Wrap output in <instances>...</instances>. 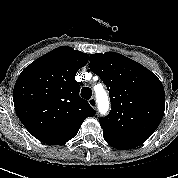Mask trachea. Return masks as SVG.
<instances>
[{
  "label": "trachea",
  "instance_id": "1",
  "mask_svg": "<svg viewBox=\"0 0 178 178\" xmlns=\"http://www.w3.org/2000/svg\"><path fill=\"white\" fill-rule=\"evenodd\" d=\"M81 96L84 99H86V100L90 99L91 96H92V90H91V88H89V87H83L82 90H81Z\"/></svg>",
  "mask_w": 178,
  "mask_h": 178
}]
</instances>
